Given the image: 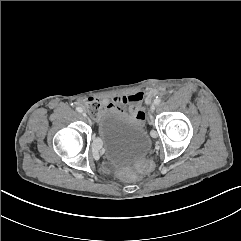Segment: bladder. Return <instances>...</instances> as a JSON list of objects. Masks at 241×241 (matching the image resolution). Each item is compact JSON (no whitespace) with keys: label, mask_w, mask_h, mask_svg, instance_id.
<instances>
[{"label":"bladder","mask_w":241,"mask_h":241,"mask_svg":"<svg viewBox=\"0 0 241 241\" xmlns=\"http://www.w3.org/2000/svg\"><path fill=\"white\" fill-rule=\"evenodd\" d=\"M98 137L105 158L112 163H128L143 159L151 148L144 127L121 112L108 109L98 120Z\"/></svg>","instance_id":"1"}]
</instances>
